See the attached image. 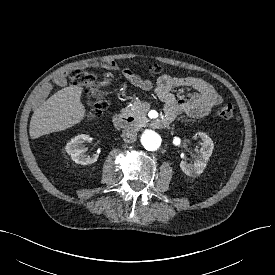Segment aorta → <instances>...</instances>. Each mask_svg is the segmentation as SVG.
<instances>
[{"label": "aorta", "mask_w": 275, "mask_h": 275, "mask_svg": "<svg viewBox=\"0 0 275 275\" xmlns=\"http://www.w3.org/2000/svg\"><path fill=\"white\" fill-rule=\"evenodd\" d=\"M161 137L152 130L145 131L141 136V143L148 151H156L161 146Z\"/></svg>", "instance_id": "obj_1"}]
</instances>
